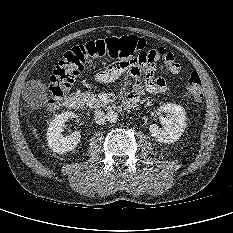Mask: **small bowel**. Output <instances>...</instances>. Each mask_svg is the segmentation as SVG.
Returning <instances> with one entry per match:
<instances>
[{"instance_id": "1", "label": "small bowel", "mask_w": 233, "mask_h": 233, "mask_svg": "<svg viewBox=\"0 0 233 233\" xmlns=\"http://www.w3.org/2000/svg\"><path fill=\"white\" fill-rule=\"evenodd\" d=\"M167 60V53L162 48H143L135 57L117 61L95 76L98 83H109L116 79H136L130 94L140 96L143 86L151 94H159L166 90V81L156 78L157 67ZM141 81V82H140Z\"/></svg>"}]
</instances>
